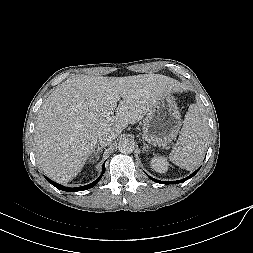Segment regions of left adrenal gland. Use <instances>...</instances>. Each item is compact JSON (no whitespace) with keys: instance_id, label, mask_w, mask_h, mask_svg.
I'll return each instance as SVG.
<instances>
[{"instance_id":"left-adrenal-gland-1","label":"left adrenal gland","mask_w":253,"mask_h":253,"mask_svg":"<svg viewBox=\"0 0 253 253\" xmlns=\"http://www.w3.org/2000/svg\"><path fill=\"white\" fill-rule=\"evenodd\" d=\"M143 151H148L147 149H148V146L145 144V143H143Z\"/></svg>"}]
</instances>
